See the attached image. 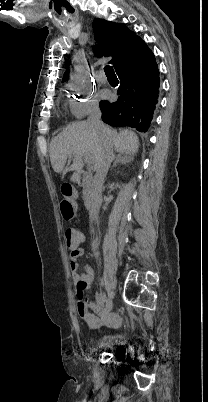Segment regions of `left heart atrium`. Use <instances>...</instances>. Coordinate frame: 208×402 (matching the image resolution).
<instances>
[{"instance_id": "obj_1", "label": "left heart atrium", "mask_w": 208, "mask_h": 402, "mask_svg": "<svg viewBox=\"0 0 208 402\" xmlns=\"http://www.w3.org/2000/svg\"><path fill=\"white\" fill-rule=\"evenodd\" d=\"M102 98L106 99L110 97V91L106 88L102 89L100 92Z\"/></svg>"}]
</instances>
